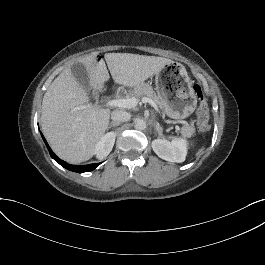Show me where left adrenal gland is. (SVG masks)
<instances>
[{
	"label": "left adrenal gland",
	"instance_id": "a2214340",
	"mask_svg": "<svg viewBox=\"0 0 265 265\" xmlns=\"http://www.w3.org/2000/svg\"><path fill=\"white\" fill-rule=\"evenodd\" d=\"M155 130L157 131L158 137L160 138L161 137L162 128L160 127L159 124L156 125Z\"/></svg>",
	"mask_w": 265,
	"mask_h": 265
}]
</instances>
